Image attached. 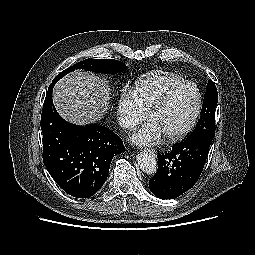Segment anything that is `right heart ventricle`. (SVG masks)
Masks as SVG:
<instances>
[{
  "mask_svg": "<svg viewBox=\"0 0 255 255\" xmlns=\"http://www.w3.org/2000/svg\"><path fill=\"white\" fill-rule=\"evenodd\" d=\"M186 81L184 78L167 72H154L135 82L133 92L148 113L151 108L173 87Z\"/></svg>",
  "mask_w": 255,
  "mask_h": 255,
  "instance_id": "right-heart-ventricle-1",
  "label": "right heart ventricle"
}]
</instances>
